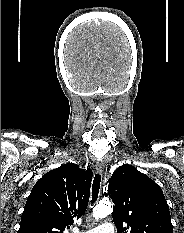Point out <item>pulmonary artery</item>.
<instances>
[{"mask_svg": "<svg viewBox=\"0 0 184 233\" xmlns=\"http://www.w3.org/2000/svg\"><path fill=\"white\" fill-rule=\"evenodd\" d=\"M83 233H115V227L111 222H105Z\"/></svg>", "mask_w": 184, "mask_h": 233, "instance_id": "pulmonary-artery-1", "label": "pulmonary artery"}]
</instances>
